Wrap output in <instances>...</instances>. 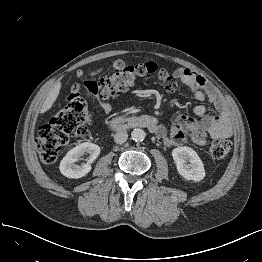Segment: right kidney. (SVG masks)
Returning a JSON list of instances; mask_svg holds the SVG:
<instances>
[{"mask_svg": "<svg viewBox=\"0 0 262 262\" xmlns=\"http://www.w3.org/2000/svg\"><path fill=\"white\" fill-rule=\"evenodd\" d=\"M85 153L89 154L87 163L77 165L79 157ZM100 154V147L94 143L85 142L71 149L60 162V172L67 178L78 179L91 171V163Z\"/></svg>", "mask_w": 262, "mask_h": 262, "instance_id": "obj_1", "label": "right kidney"}]
</instances>
